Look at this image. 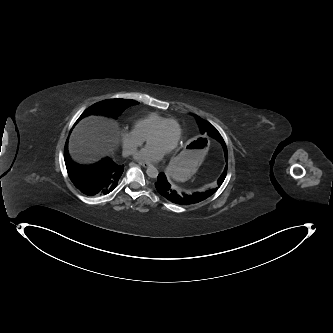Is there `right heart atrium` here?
<instances>
[{
    "label": "right heart atrium",
    "mask_w": 333,
    "mask_h": 333,
    "mask_svg": "<svg viewBox=\"0 0 333 333\" xmlns=\"http://www.w3.org/2000/svg\"><path fill=\"white\" fill-rule=\"evenodd\" d=\"M145 139L140 136L134 129L123 130L122 144L127 154H135L137 149L144 143Z\"/></svg>",
    "instance_id": "right-heart-atrium-1"
}]
</instances>
